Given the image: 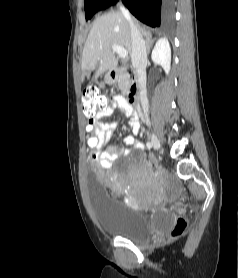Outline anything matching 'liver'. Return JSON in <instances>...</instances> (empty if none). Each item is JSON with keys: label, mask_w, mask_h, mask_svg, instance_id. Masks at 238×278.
I'll use <instances>...</instances> for the list:
<instances>
[{"label": "liver", "mask_w": 238, "mask_h": 278, "mask_svg": "<svg viewBox=\"0 0 238 278\" xmlns=\"http://www.w3.org/2000/svg\"><path fill=\"white\" fill-rule=\"evenodd\" d=\"M142 36L151 38V32L141 27L133 20ZM112 45L122 46L130 55L132 52V40L130 27L122 12L112 11L97 18L90 30L82 53L81 68L89 79L91 72L96 68L95 77L100 76L108 70H113L118 64Z\"/></svg>", "instance_id": "liver-1"}]
</instances>
